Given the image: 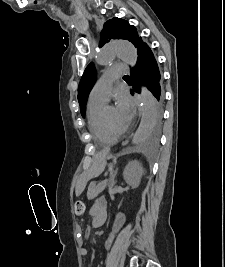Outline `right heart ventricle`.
Listing matches in <instances>:
<instances>
[{"label":"right heart ventricle","mask_w":225,"mask_h":267,"mask_svg":"<svg viewBox=\"0 0 225 267\" xmlns=\"http://www.w3.org/2000/svg\"><path fill=\"white\" fill-rule=\"evenodd\" d=\"M105 108V102L89 99L87 108V118L89 130L94 140L99 145H112L116 142L117 138L105 129L102 113Z\"/></svg>","instance_id":"1"}]
</instances>
